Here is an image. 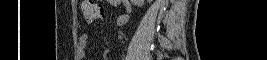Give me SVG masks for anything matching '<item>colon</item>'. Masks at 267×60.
I'll use <instances>...</instances> for the list:
<instances>
[{"instance_id":"5ec220e1","label":"colon","mask_w":267,"mask_h":60,"mask_svg":"<svg viewBox=\"0 0 267 60\" xmlns=\"http://www.w3.org/2000/svg\"><path fill=\"white\" fill-rule=\"evenodd\" d=\"M83 17L86 23L91 24L103 15V7L97 1H85L82 5Z\"/></svg>"}]
</instances>
